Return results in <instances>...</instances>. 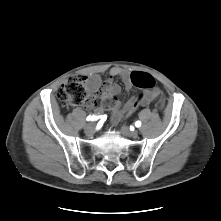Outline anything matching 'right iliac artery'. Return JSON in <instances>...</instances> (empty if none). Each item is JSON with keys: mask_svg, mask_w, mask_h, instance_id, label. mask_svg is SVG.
<instances>
[{"mask_svg": "<svg viewBox=\"0 0 221 221\" xmlns=\"http://www.w3.org/2000/svg\"><path fill=\"white\" fill-rule=\"evenodd\" d=\"M99 119V116H96V115H89L87 117V121H96Z\"/></svg>", "mask_w": 221, "mask_h": 221, "instance_id": "obj_1", "label": "right iliac artery"}]
</instances>
